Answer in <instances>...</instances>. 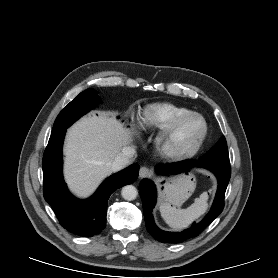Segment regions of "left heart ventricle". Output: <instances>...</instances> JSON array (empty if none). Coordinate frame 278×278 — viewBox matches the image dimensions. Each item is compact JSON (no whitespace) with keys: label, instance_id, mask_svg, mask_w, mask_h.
I'll use <instances>...</instances> for the list:
<instances>
[{"label":"left heart ventricle","instance_id":"b2bd125f","mask_svg":"<svg viewBox=\"0 0 278 278\" xmlns=\"http://www.w3.org/2000/svg\"><path fill=\"white\" fill-rule=\"evenodd\" d=\"M202 131V123L196 118L185 122L175 137V143L179 147L192 145Z\"/></svg>","mask_w":278,"mask_h":278}]
</instances>
